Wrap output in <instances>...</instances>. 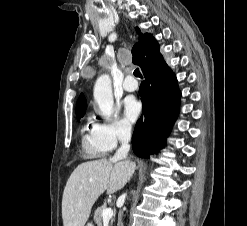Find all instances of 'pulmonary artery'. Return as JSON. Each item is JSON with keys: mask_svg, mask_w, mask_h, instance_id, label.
<instances>
[{"mask_svg": "<svg viewBox=\"0 0 247 226\" xmlns=\"http://www.w3.org/2000/svg\"><path fill=\"white\" fill-rule=\"evenodd\" d=\"M138 88V83L131 77L128 76L123 82V89L126 92H133Z\"/></svg>", "mask_w": 247, "mask_h": 226, "instance_id": "1", "label": "pulmonary artery"}]
</instances>
